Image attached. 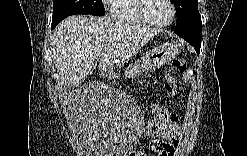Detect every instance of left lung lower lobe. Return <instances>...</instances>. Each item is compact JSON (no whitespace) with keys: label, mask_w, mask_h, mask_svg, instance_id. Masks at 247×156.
I'll return each mask as SVG.
<instances>
[{"label":"left lung lower lobe","mask_w":247,"mask_h":156,"mask_svg":"<svg viewBox=\"0 0 247 156\" xmlns=\"http://www.w3.org/2000/svg\"><path fill=\"white\" fill-rule=\"evenodd\" d=\"M174 31L189 42L194 48L196 52L199 54L201 47V37H202V22L198 21L190 24L189 26L181 29H175Z\"/></svg>","instance_id":"1"}]
</instances>
